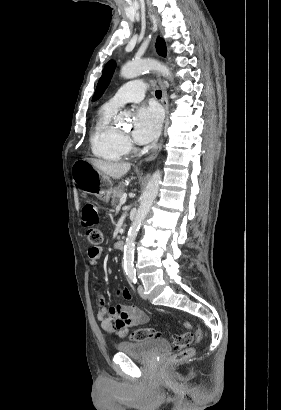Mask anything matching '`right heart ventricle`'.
I'll list each match as a JSON object with an SVG mask.
<instances>
[{"label":"right heart ventricle","instance_id":"e07e8e85","mask_svg":"<svg viewBox=\"0 0 281 410\" xmlns=\"http://www.w3.org/2000/svg\"><path fill=\"white\" fill-rule=\"evenodd\" d=\"M116 110L103 106L97 115L90 134L93 155L103 161H120L128 154L121 132L113 126L112 117Z\"/></svg>","mask_w":281,"mask_h":410}]
</instances>
